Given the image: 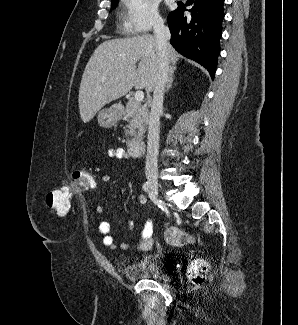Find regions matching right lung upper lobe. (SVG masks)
<instances>
[{"mask_svg": "<svg viewBox=\"0 0 298 325\" xmlns=\"http://www.w3.org/2000/svg\"><path fill=\"white\" fill-rule=\"evenodd\" d=\"M117 1H118V0H112V3H113V2H117Z\"/></svg>", "mask_w": 298, "mask_h": 325, "instance_id": "1", "label": "right lung upper lobe"}]
</instances>
